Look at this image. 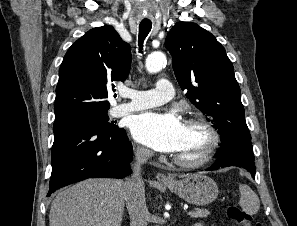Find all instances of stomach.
I'll list each match as a JSON object with an SVG mask.
<instances>
[{
  "label": "stomach",
  "instance_id": "stomach-1",
  "mask_svg": "<svg viewBox=\"0 0 297 226\" xmlns=\"http://www.w3.org/2000/svg\"><path fill=\"white\" fill-rule=\"evenodd\" d=\"M173 193L188 203L205 205L218 196V187L213 179L202 174H190L181 180L164 184Z\"/></svg>",
  "mask_w": 297,
  "mask_h": 226
}]
</instances>
